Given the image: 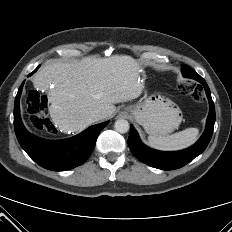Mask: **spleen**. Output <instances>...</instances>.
I'll list each match as a JSON object with an SVG mask.
<instances>
[{"instance_id":"3e777b00","label":"spleen","mask_w":232,"mask_h":232,"mask_svg":"<svg viewBox=\"0 0 232 232\" xmlns=\"http://www.w3.org/2000/svg\"><path fill=\"white\" fill-rule=\"evenodd\" d=\"M198 134L199 130L197 128H187L167 137L149 135L148 143L158 150L176 151L185 149L194 144Z\"/></svg>"}]
</instances>
